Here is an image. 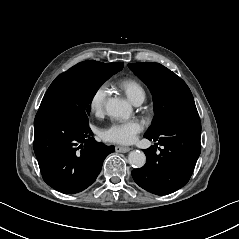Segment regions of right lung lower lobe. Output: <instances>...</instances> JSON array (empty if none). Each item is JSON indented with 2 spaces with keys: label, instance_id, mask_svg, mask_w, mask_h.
Returning <instances> with one entry per match:
<instances>
[{
  "label": "right lung lower lobe",
  "instance_id": "1",
  "mask_svg": "<svg viewBox=\"0 0 239 239\" xmlns=\"http://www.w3.org/2000/svg\"><path fill=\"white\" fill-rule=\"evenodd\" d=\"M34 152L44 181L53 189L74 194L89 187L104 159L114 152L94 140L89 125L64 114L35 117Z\"/></svg>",
  "mask_w": 239,
  "mask_h": 239
}]
</instances>
